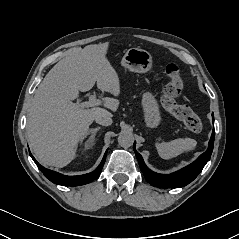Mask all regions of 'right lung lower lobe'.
<instances>
[{"instance_id": "right-lung-lower-lobe-1", "label": "right lung lower lobe", "mask_w": 239, "mask_h": 239, "mask_svg": "<svg viewBox=\"0 0 239 239\" xmlns=\"http://www.w3.org/2000/svg\"><path fill=\"white\" fill-rule=\"evenodd\" d=\"M106 154H107V152L105 153L100 165L93 172L84 174V175H79V176H66V175H62L58 172L46 169L35 160V158L32 156L31 153H30V156L36 163L37 167L41 170V172L51 182L58 184V185H63V186H79V185L88 184V183L92 182L93 180H95L99 176V174L103 168L105 159H106Z\"/></svg>"}]
</instances>
